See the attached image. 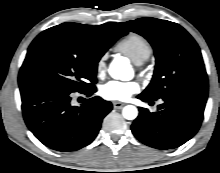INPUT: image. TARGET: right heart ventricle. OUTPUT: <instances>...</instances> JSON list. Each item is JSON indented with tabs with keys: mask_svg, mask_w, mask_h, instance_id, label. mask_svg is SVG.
Listing matches in <instances>:
<instances>
[{
	"mask_svg": "<svg viewBox=\"0 0 220 173\" xmlns=\"http://www.w3.org/2000/svg\"><path fill=\"white\" fill-rule=\"evenodd\" d=\"M116 49L128 56L135 64L145 62L152 54L150 42L142 35L132 33L124 38Z\"/></svg>",
	"mask_w": 220,
	"mask_h": 173,
	"instance_id": "obj_1",
	"label": "right heart ventricle"
}]
</instances>
